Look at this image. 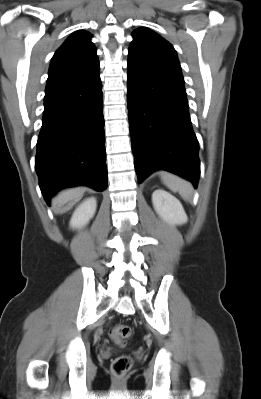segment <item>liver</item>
Returning a JSON list of instances; mask_svg holds the SVG:
<instances>
[{
	"instance_id": "1",
	"label": "liver",
	"mask_w": 261,
	"mask_h": 399,
	"mask_svg": "<svg viewBox=\"0 0 261 399\" xmlns=\"http://www.w3.org/2000/svg\"><path fill=\"white\" fill-rule=\"evenodd\" d=\"M84 194V189L83 188H73V189H68L65 191L60 192L57 197L53 200V205L58 206L59 208L63 206L64 204L71 202V201H76L80 199ZM70 209V207L63 208L60 212H66Z\"/></svg>"
}]
</instances>
